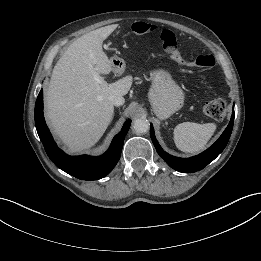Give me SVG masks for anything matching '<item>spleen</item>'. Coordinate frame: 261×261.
Instances as JSON below:
<instances>
[{
    "mask_svg": "<svg viewBox=\"0 0 261 261\" xmlns=\"http://www.w3.org/2000/svg\"><path fill=\"white\" fill-rule=\"evenodd\" d=\"M215 130L214 123L183 122L174 128V142L177 148L183 152H200L205 148Z\"/></svg>",
    "mask_w": 261,
    "mask_h": 261,
    "instance_id": "obj_1",
    "label": "spleen"
}]
</instances>
